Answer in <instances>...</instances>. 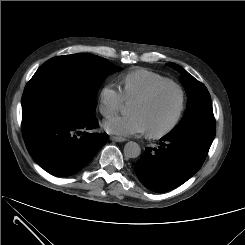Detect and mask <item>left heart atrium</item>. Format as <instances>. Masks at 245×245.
<instances>
[{
    "mask_svg": "<svg viewBox=\"0 0 245 245\" xmlns=\"http://www.w3.org/2000/svg\"><path fill=\"white\" fill-rule=\"evenodd\" d=\"M104 128L112 134L122 136L141 134L147 131L143 119L135 113L111 117L105 121Z\"/></svg>",
    "mask_w": 245,
    "mask_h": 245,
    "instance_id": "left-heart-atrium-1",
    "label": "left heart atrium"
}]
</instances>
